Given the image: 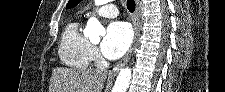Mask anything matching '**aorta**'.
I'll return each instance as SVG.
<instances>
[{
  "label": "aorta",
  "mask_w": 225,
  "mask_h": 92,
  "mask_svg": "<svg viewBox=\"0 0 225 92\" xmlns=\"http://www.w3.org/2000/svg\"><path fill=\"white\" fill-rule=\"evenodd\" d=\"M110 0H95V5H103L109 2ZM105 33L104 27L101 25V23L98 21L97 18L91 17L86 25V28L84 30V34L89 37L91 40L99 39L101 35ZM131 79V69L129 67H126L124 69H121L115 85L113 87V92H126L127 88L129 86Z\"/></svg>",
  "instance_id": "762f6f07"
}]
</instances>
